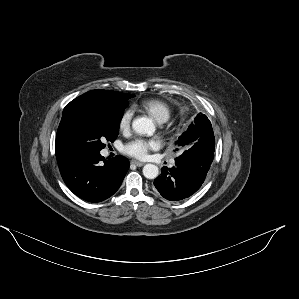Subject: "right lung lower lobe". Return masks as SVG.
<instances>
[{
  "mask_svg": "<svg viewBox=\"0 0 299 299\" xmlns=\"http://www.w3.org/2000/svg\"><path fill=\"white\" fill-rule=\"evenodd\" d=\"M59 169L75 195L89 202H100L118 190L129 169V161L123 156L104 160L100 152H88L59 165Z\"/></svg>",
  "mask_w": 299,
  "mask_h": 299,
  "instance_id": "98d812e1",
  "label": "right lung lower lobe"
}]
</instances>
